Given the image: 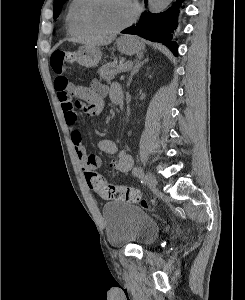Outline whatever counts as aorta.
<instances>
[{"label":"aorta","instance_id":"762f6f07","mask_svg":"<svg viewBox=\"0 0 245 300\" xmlns=\"http://www.w3.org/2000/svg\"><path fill=\"white\" fill-rule=\"evenodd\" d=\"M172 0H148L149 11L159 13L165 10Z\"/></svg>","mask_w":245,"mask_h":300}]
</instances>
